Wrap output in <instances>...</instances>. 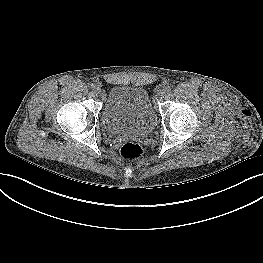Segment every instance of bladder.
I'll return each instance as SVG.
<instances>
[{"mask_svg":"<svg viewBox=\"0 0 263 263\" xmlns=\"http://www.w3.org/2000/svg\"><path fill=\"white\" fill-rule=\"evenodd\" d=\"M156 122L154 109L144 89L113 85L107 94L102 123L111 134H149Z\"/></svg>","mask_w":263,"mask_h":263,"instance_id":"obj_1","label":"bladder"}]
</instances>
